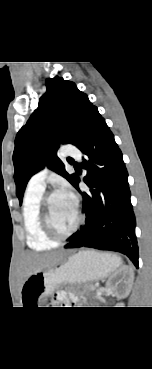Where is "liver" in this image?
Returning a JSON list of instances; mask_svg holds the SVG:
<instances>
[{
    "mask_svg": "<svg viewBox=\"0 0 152 369\" xmlns=\"http://www.w3.org/2000/svg\"><path fill=\"white\" fill-rule=\"evenodd\" d=\"M59 260L56 253L37 254L27 253L23 258V278L24 281L36 272L49 268L52 264Z\"/></svg>",
    "mask_w": 152,
    "mask_h": 369,
    "instance_id": "1",
    "label": "liver"
}]
</instances>
